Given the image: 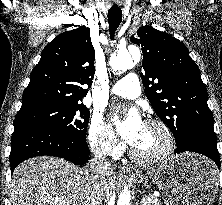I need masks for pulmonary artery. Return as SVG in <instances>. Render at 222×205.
I'll return each instance as SVG.
<instances>
[{
    "label": "pulmonary artery",
    "instance_id": "pulmonary-artery-1",
    "mask_svg": "<svg viewBox=\"0 0 222 205\" xmlns=\"http://www.w3.org/2000/svg\"><path fill=\"white\" fill-rule=\"evenodd\" d=\"M111 94L117 95L123 98L134 99L137 98L140 93V84L136 75L128 74L122 78L111 88Z\"/></svg>",
    "mask_w": 222,
    "mask_h": 205
}]
</instances>
